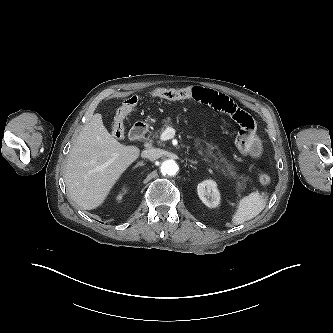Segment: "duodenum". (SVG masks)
Here are the masks:
<instances>
[{
	"label": "duodenum",
	"instance_id": "duodenum-1",
	"mask_svg": "<svg viewBox=\"0 0 333 333\" xmlns=\"http://www.w3.org/2000/svg\"><path fill=\"white\" fill-rule=\"evenodd\" d=\"M147 130H148L147 124L137 123L131 128L129 132V138L131 140H139L146 134Z\"/></svg>",
	"mask_w": 333,
	"mask_h": 333
}]
</instances>
